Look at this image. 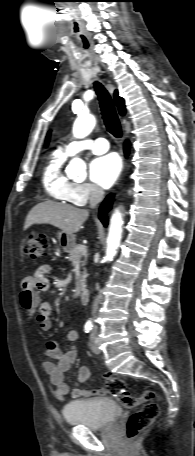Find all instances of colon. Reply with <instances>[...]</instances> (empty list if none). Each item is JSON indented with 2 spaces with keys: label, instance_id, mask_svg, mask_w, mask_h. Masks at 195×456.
<instances>
[{
  "label": "colon",
  "instance_id": "1",
  "mask_svg": "<svg viewBox=\"0 0 195 456\" xmlns=\"http://www.w3.org/2000/svg\"><path fill=\"white\" fill-rule=\"evenodd\" d=\"M48 239L44 235L33 234L22 245V251L32 259H41L46 254ZM107 391L127 409L142 408L133 413L126 425L128 439L136 438L159 415L157 396L151 390L144 391L140 396L134 395L124 378L106 374L104 377Z\"/></svg>",
  "mask_w": 195,
  "mask_h": 456
}]
</instances>
